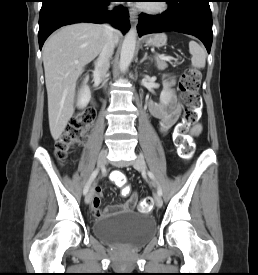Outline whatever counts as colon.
<instances>
[{
	"instance_id": "obj_1",
	"label": "colon",
	"mask_w": 258,
	"mask_h": 275,
	"mask_svg": "<svg viewBox=\"0 0 258 275\" xmlns=\"http://www.w3.org/2000/svg\"><path fill=\"white\" fill-rule=\"evenodd\" d=\"M200 71L197 68L186 70L180 77L179 89L183 93L186 109L182 122L177 128L176 142L181 157L190 158L193 153V143L188 137V132L199 121L202 108V100L199 95ZM94 119V112L90 109L78 112L73 116L56 142L55 153L58 159L64 160L69 151L81 143ZM112 182L122 190L123 194L130 192L127 178L123 172L115 171L111 175ZM152 208V199L146 197L139 203L142 212H148Z\"/></svg>"
}]
</instances>
